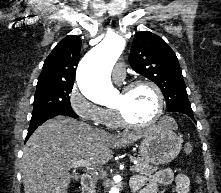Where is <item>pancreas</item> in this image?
I'll return each mask as SVG.
<instances>
[{"label": "pancreas", "mask_w": 221, "mask_h": 193, "mask_svg": "<svg viewBox=\"0 0 221 193\" xmlns=\"http://www.w3.org/2000/svg\"><path fill=\"white\" fill-rule=\"evenodd\" d=\"M132 160H136L137 164L135 166V172L145 175V176H150L152 173H154L158 168L153 167L149 165L146 161H144L142 158H133ZM89 193H95V184L92 183L90 188H89Z\"/></svg>", "instance_id": "obj_1"}]
</instances>
